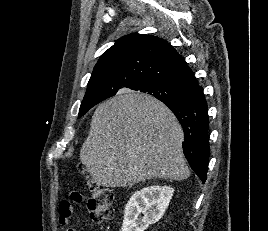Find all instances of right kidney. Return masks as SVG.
<instances>
[{"label": "right kidney", "mask_w": 268, "mask_h": 231, "mask_svg": "<svg viewBox=\"0 0 268 231\" xmlns=\"http://www.w3.org/2000/svg\"><path fill=\"white\" fill-rule=\"evenodd\" d=\"M173 193L174 189L170 186L159 185L148 186L135 192L126 204L121 231H144L149 225L158 222L164 215Z\"/></svg>", "instance_id": "right-kidney-1"}]
</instances>
